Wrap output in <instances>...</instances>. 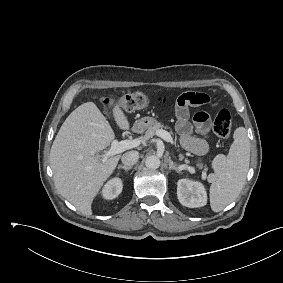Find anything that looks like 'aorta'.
Here are the masks:
<instances>
[{
    "label": "aorta",
    "mask_w": 283,
    "mask_h": 283,
    "mask_svg": "<svg viewBox=\"0 0 283 283\" xmlns=\"http://www.w3.org/2000/svg\"><path fill=\"white\" fill-rule=\"evenodd\" d=\"M145 165L149 169H157L160 166V159L156 156H149L146 158Z\"/></svg>",
    "instance_id": "762f6f07"
}]
</instances>
